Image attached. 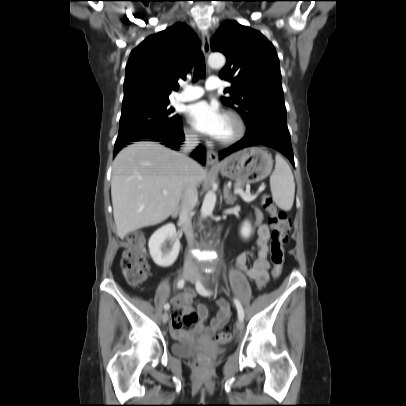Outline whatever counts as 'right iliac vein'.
<instances>
[{"label": "right iliac vein", "instance_id": "obj_1", "mask_svg": "<svg viewBox=\"0 0 406 406\" xmlns=\"http://www.w3.org/2000/svg\"><path fill=\"white\" fill-rule=\"evenodd\" d=\"M182 277H183L185 280H190V279L193 277V269L190 268V267L184 268V270H183V272H182ZM162 321H163L164 323H166V322L168 321V313H167V312H165V313L163 314V316H162Z\"/></svg>", "mask_w": 406, "mask_h": 406}]
</instances>
